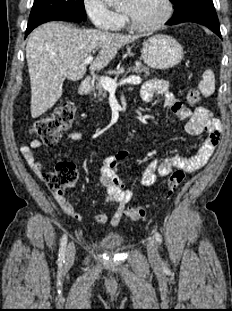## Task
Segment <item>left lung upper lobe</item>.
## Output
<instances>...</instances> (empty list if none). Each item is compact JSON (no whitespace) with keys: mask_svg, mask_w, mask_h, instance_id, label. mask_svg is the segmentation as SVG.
I'll use <instances>...</instances> for the list:
<instances>
[{"mask_svg":"<svg viewBox=\"0 0 232 311\" xmlns=\"http://www.w3.org/2000/svg\"><path fill=\"white\" fill-rule=\"evenodd\" d=\"M170 1L173 3L174 8L177 9L178 7L183 5L187 0H170Z\"/></svg>","mask_w":232,"mask_h":311,"instance_id":"left-lung-upper-lobe-1","label":"left lung upper lobe"}]
</instances>
